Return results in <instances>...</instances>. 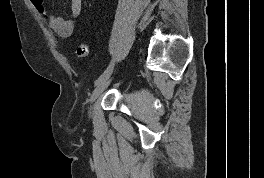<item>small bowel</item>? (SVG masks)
Listing matches in <instances>:
<instances>
[{"instance_id":"1","label":"small bowel","mask_w":264,"mask_h":178,"mask_svg":"<svg viewBox=\"0 0 264 178\" xmlns=\"http://www.w3.org/2000/svg\"><path fill=\"white\" fill-rule=\"evenodd\" d=\"M82 10V0H71L70 17L61 18L49 14L46 17L49 27L60 37L67 38L71 36L75 30L79 16Z\"/></svg>"}]
</instances>
